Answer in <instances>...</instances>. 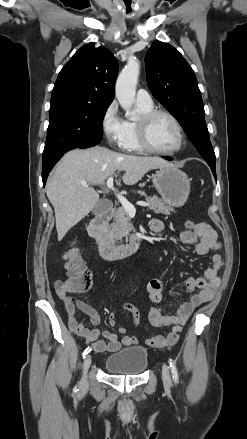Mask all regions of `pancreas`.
I'll return each instance as SVG.
<instances>
[{
	"instance_id": "pancreas-1",
	"label": "pancreas",
	"mask_w": 247,
	"mask_h": 439,
	"mask_svg": "<svg viewBox=\"0 0 247 439\" xmlns=\"http://www.w3.org/2000/svg\"><path fill=\"white\" fill-rule=\"evenodd\" d=\"M147 202L149 203V209L156 214L170 215L171 212H174L171 206H167L165 202L157 196L149 197ZM131 231H135V229L128 213L123 207L118 208L114 215V222L111 223L108 229L109 236L115 242H122L124 237L126 239L133 237Z\"/></svg>"
}]
</instances>
